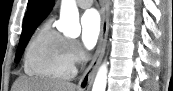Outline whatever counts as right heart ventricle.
<instances>
[{
	"instance_id": "e07e8e85",
	"label": "right heart ventricle",
	"mask_w": 173,
	"mask_h": 91,
	"mask_svg": "<svg viewBox=\"0 0 173 91\" xmlns=\"http://www.w3.org/2000/svg\"><path fill=\"white\" fill-rule=\"evenodd\" d=\"M68 40L45 23L33 36L25 51L24 69L43 80L69 79L74 65L68 55Z\"/></svg>"
}]
</instances>
